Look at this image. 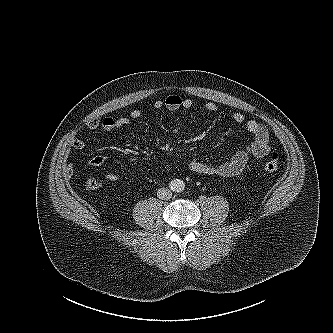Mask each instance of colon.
<instances>
[{"instance_id": "obj_1", "label": "colon", "mask_w": 333, "mask_h": 333, "mask_svg": "<svg viewBox=\"0 0 333 333\" xmlns=\"http://www.w3.org/2000/svg\"><path fill=\"white\" fill-rule=\"evenodd\" d=\"M280 164L281 156L279 153L274 152L263 164V170L268 173L275 172L279 169ZM85 185L88 189H97L101 186L100 182L94 178L87 179Z\"/></svg>"}]
</instances>
